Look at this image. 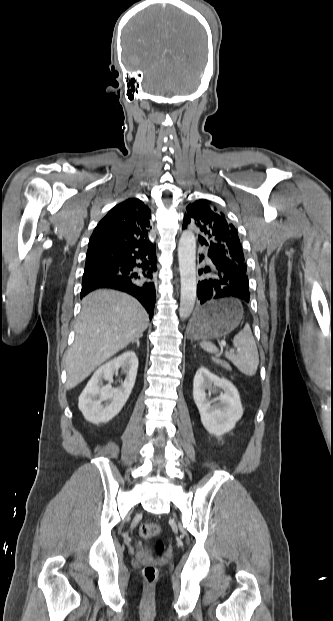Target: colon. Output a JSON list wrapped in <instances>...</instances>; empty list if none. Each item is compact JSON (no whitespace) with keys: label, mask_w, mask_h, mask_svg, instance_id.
I'll return each instance as SVG.
<instances>
[{"label":"colon","mask_w":333,"mask_h":621,"mask_svg":"<svg viewBox=\"0 0 333 621\" xmlns=\"http://www.w3.org/2000/svg\"><path fill=\"white\" fill-rule=\"evenodd\" d=\"M161 533V527L155 523H145L139 528V534L143 538L156 537ZM155 550L158 554H162L164 545L161 541L155 544ZM158 571L154 566H146L143 569V578L148 585L153 584L157 579Z\"/></svg>","instance_id":"1"}]
</instances>
